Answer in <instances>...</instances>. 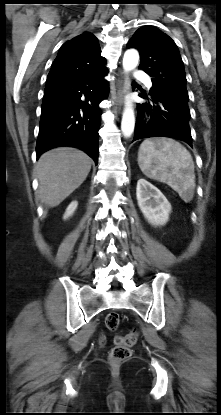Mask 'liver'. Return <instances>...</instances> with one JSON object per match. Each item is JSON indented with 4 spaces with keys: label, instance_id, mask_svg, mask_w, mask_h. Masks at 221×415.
I'll list each match as a JSON object with an SVG mask.
<instances>
[{
    "label": "liver",
    "instance_id": "6515ba94",
    "mask_svg": "<svg viewBox=\"0 0 221 415\" xmlns=\"http://www.w3.org/2000/svg\"><path fill=\"white\" fill-rule=\"evenodd\" d=\"M92 165L83 151L59 147L45 152L36 165L41 202L56 207L86 179Z\"/></svg>",
    "mask_w": 221,
    "mask_h": 415
}]
</instances>
